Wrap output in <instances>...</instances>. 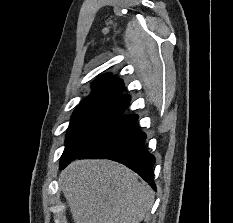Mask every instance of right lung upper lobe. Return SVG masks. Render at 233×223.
Instances as JSON below:
<instances>
[{
	"label": "right lung upper lobe",
	"instance_id": "obj_1",
	"mask_svg": "<svg viewBox=\"0 0 233 223\" xmlns=\"http://www.w3.org/2000/svg\"><path fill=\"white\" fill-rule=\"evenodd\" d=\"M124 90L122 80L106 74L98 77L92 85V94H119Z\"/></svg>",
	"mask_w": 233,
	"mask_h": 223
}]
</instances>
